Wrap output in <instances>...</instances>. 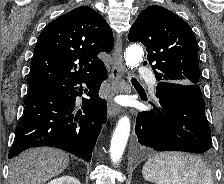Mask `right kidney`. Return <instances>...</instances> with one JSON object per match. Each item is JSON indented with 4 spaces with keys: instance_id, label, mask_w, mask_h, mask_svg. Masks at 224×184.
<instances>
[{
    "instance_id": "obj_1",
    "label": "right kidney",
    "mask_w": 224,
    "mask_h": 184,
    "mask_svg": "<svg viewBox=\"0 0 224 184\" xmlns=\"http://www.w3.org/2000/svg\"><path fill=\"white\" fill-rule=\"evenodd\" d=\"M47 184H81V183L75 177L63 176V177L53 179Z\"/></svg>"
}]
</instances>
